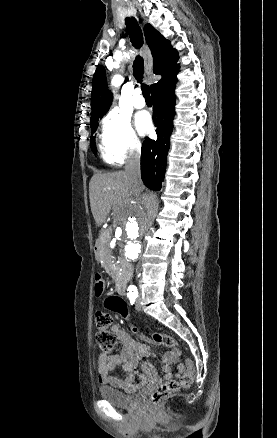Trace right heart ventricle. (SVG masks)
Listing matches in <instances>:
<instances>
[{
	"label": "right heart ventricle",
	"instance_id": "right-heart-ventricle-1",
	"mask_svg": "<svg viewBox=\"0 0 277 438\" xmlns=\"http://www.w3.org/2000/svg\"><path fill=\"white\" fill-rule=\"evenodd\" d=\"M100 149L102 152V158L105 162L109 164H117L121 161V158L116 152L106 131L100 137Z\"/></svg>",
	"mask_w": 277,
	"mask_h": 438
}]
</instances>
